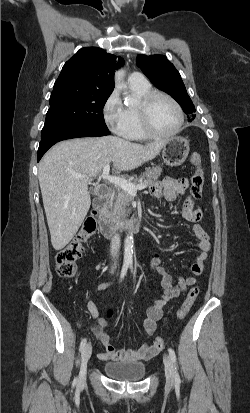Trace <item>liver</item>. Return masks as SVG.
<instances>
[{"mask_svg":"<svg viewBox=\"0 0 250 413\" xmlns=\"http://www.w3.org/2000/svg\"><path fill=\"white\" fill-rule=\"evenodd\" d=\"M165 141L142 145L116 136L66 140L53 146L39 162L38 179L51 243L63 249L80 228L91 205L88 183L113 162L120 171L154 159Z\"/></svg>","mask_w":250,"mask_h":413,"instance_id":"liver-1","label":"liver"}]
</instances>
